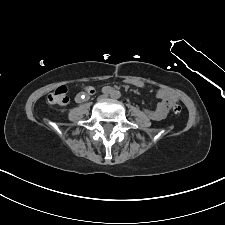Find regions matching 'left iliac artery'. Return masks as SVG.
<instances>
[{
    "label": "left iliac artery",
    "mask_w": 225,
    "mask_h": 225,
    "mask_svg": "<svg viewBox=\"0 0 225 225\" xmlns=\"http://www.w3.org/2000/svg\"><path fill=\"white\" fill-rule=\"evenodd\" d=\"M111 96H112L113 98H118V97H119V92L113 91L112 94H111Z\"/></svg>",
    "instance_id": "obj_1"
}]
</instances>
